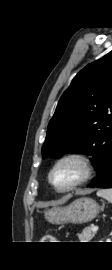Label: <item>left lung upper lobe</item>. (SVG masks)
Returning a JSON list of instances; mask_svg holds the SVG:
<instances>
[{"label": "left lung upper lobe", "instance_id": "5c2ea615", "mask_svg": "<svg viewBox=\"0 0 112 270\" xmlns=\"http://www.w3.org/2000/svg\"><path fill=\"white\" fill-rule=\"evenodd\" d=\"M112 150V51L88 64L61 96L49 122L43 158L86 152L98 174Z\"/></svg>", "mask_w": 112, "mask_h": 270}]
</instances>
